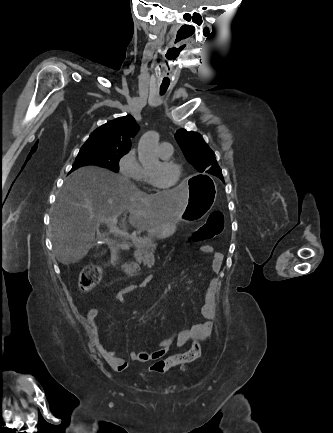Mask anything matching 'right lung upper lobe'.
<instances>
[{"mask_svg":"<svg viewBox=\"0 0 333 433\" xmlns=\"http://www.w3.org/2000/svg\"><path fill=\"white\" fill-rule=\"evenodd\" d=\"M139 126L131 115L109 121L96 129L85 142L107 148L129 151L131 137H134Z\"/></svg>","mask_w":333,"mask_h":433,"instance_id":"obj_1","label":"right lung upper lobe"}]
</instances>
